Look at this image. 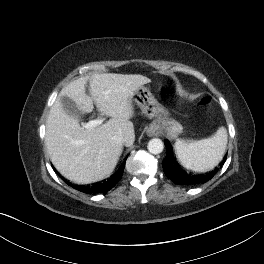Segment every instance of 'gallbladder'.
<instances>
[{
    "label": "gallbladder",
    "mask_w": 264,
    "mask_h": 264,
    "mask_svg": "<svg viewBox=\"0 0 264 264\" xmlns=\"http://www.w3.org/2000/svg\"><path fill=\"white\" fill-rule=\"evenodd\" d=\"M61 104L64 111L71 117L76 119H80L82 115V111H80L76 105V103L68 98L67 96L61 97Z\"/></svg>",
    "instance_id": "gallbladder-1"
}]
</instances>
